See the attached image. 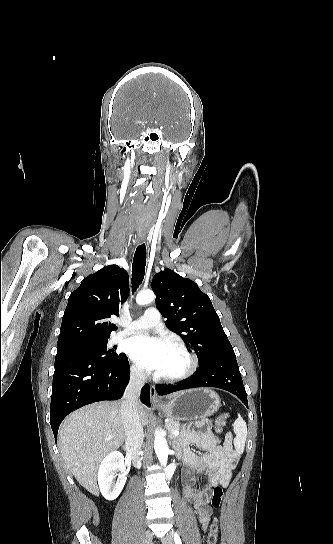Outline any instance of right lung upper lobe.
I'll return each mask as SVG.
<instances>
[{"mask_svg": "<svg viewBox=\"0 0 333 544\" xmlns=\"http://www.w3.org/2000/svg\"><path fill=\"white\" fill-rule=\"evenodd\" d=\"M128 292V273L117 265L103 267L84 278L69 296L57 349L108 339L111 331L116 330L108 319L119 314Z\"/></svg>", "mask_w": 333, "mask_h": 544, "instance_id": "1", "label": "right lung upper lobe"}]
</instances>
